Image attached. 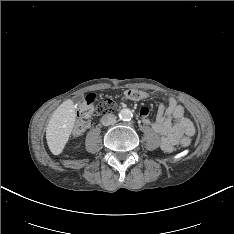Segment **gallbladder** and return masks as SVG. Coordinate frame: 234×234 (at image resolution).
Masks as SVG:
<instances>
[{"mask_svg": "<svg viewBox=\"0 0 234 234\" xmlns=\"http://www.w3.org/2000/svg\"><path fill=\"white\" fill-rule=\"evenodd\" d=\"M82 99H83L82 96H76V97L74 98V101H75L76 104H80V103L82 102Z\"/></svg>", "mask_w": 234, "mask_h": 234, "instance_id": "gallbladder-1", "label": "gallbladder"}]
</instances>
